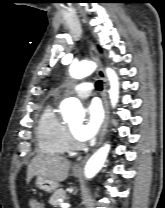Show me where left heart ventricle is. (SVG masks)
I'll use <instances>...</instances> for the list:
<instances>
[{"label": "left heart ventricle", "mask_w": 165, "mask_h": 208, "mask_svg": "<svg viewBox=\"0 0 165 208\" xmlns=\"http://www.w3.org/2000/svg\"><path fill=\"white\" fill-rule=\"evenodd\" d=\"M79 124H80V121L78 120H75L73 122H71L68 126L69 128L71 129V131L74 133V135L76 136V132H77V129L79 127ZM77 138V136H76Z\"/></svg>", "instance_id": "obj_1"}]
</instances>
